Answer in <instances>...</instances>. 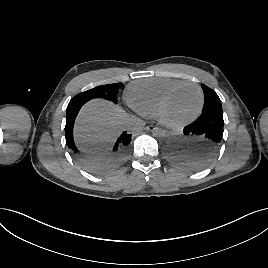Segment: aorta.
<instances>
[{
	"label": "aorta",
	"mask_w": 268,
	"mask_h": 268,
	"mask_svg": "<svg viewBox=\"0 0 268 268\" xmlns=\"http://www.w3.org/2000/svg\"><path fill=\"white\" fill-rule=\"evenodd\" d=\"M153 137L156 138L157 140H162L167 137V133L162 129H157L153 132Z\"/></svg>",
	"instance_id": "762f6f07"
}]
</instances>
